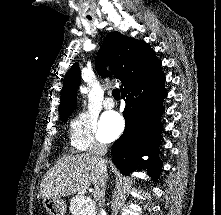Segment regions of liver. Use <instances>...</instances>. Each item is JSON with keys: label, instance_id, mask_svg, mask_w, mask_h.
Listing matches in <instances>:
<instances>
[{"label": "liver", "instance_id": "obj_1", "mask_svg": "<svg viewBox=\"0 0 221 215\" xmlns=\"http://www.w3.org/2000/svg\"><path fill=\"white\" fill-rule=\"evenodd\" d=\"M98 172V160L89 153L60 158L46 172L40 186V197L44 200L83 192L95 184Z\"/></svg>", "mask_w": 221, "mask_h": 215}]
</instances>
